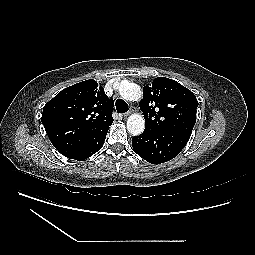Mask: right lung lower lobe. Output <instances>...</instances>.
<instances>
[{
	"instance_id": "1",
	"label": "right lung lower lobe",
	"mask_w": 255,
	"mask_h": 255,
	"mask_svg": "<svg viewBox=\"0 0 255 255\" xmlns=\"http://www.w3.org/2000/svg\"><path fill=\"white\" fill-rule=\"evenodd\" d=\"M108 130L100 131L89 137L84 141L74 152L70 153L67 157L82 161L92 156L99 151L104 144Z\"/></svg>"
}]
</instances>
